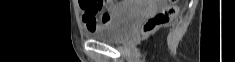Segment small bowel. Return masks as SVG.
<instances>
[{"mask_svg":"<svg viewBox=\"0 0 235 62\" xmlns=\"http://www.w3.org/2000/svg\"><path fill=\"white\" fill-rule=\"evenodd\" d=\"M91 3H92V1H81L80 2V6L84 11L83 21L86 25L87 30H89V31L97 29L102 24L107 23L111 19V16L109 14H104L101 18V21H100L97 17V13H91L90 12V4ZM124 5H125V3H122L121 5H118L116 7V11L119 10ZM109 8L113 11L115 9V6L111 2H109Z\"/></svg>","mask_w":235,"mask_h":62,"instance_id":"1","label":"small bowel"}]
</instances>
